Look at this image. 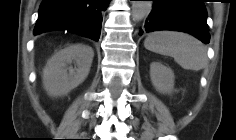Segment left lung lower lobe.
<instances>
[{"mask_svg": "<svg viewBox=\"0 0 236 140\" xmlns=\"http://www.w3.org/2000/svg\"><path fill=\"white\" fill-rule=\"evenodd\" d=\"M153 8L145 22L144 31L176 30L194 35L209 43L204 0H153ZM143 31H140L141 35Z\"/></svg>", "mask_w": 236, "mask_h": 140, "instance_id": "1", "label": "left lung lower lobe"}]
</instances>
